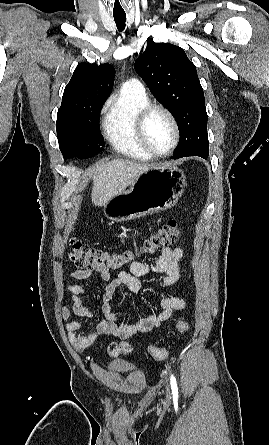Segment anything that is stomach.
<instances>
[{
	"label": "stomach",
	"instance_id": "0dacf381",
	"mask_svg": "<svg viewBox=\"0 0 269 445\" xmlns=\"http://www.w3.org/2000/svg\"><path fill=\"white\" fill-rule=\"evenodd\" d=\"M184 187V177L172 165L153 166L139 175L129 190L104 205L106 217L124 222L159 213L174 206Z\"/></svg>",
	"mask_w": 269,
	"mask_h": 445
}]
</instances>
